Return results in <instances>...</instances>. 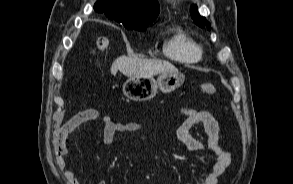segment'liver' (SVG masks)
I'll list each match as a JSON object with an SVG mask.
<instances>
[{
	"instance_id": "liver-1",
	"label": "liver",
	"mask_w": 293,
	"mask_h": 184,
	"mask_svg": "<svg viewBox=\"0 0 293 184\" xmlns=\"http://www.w3.org/2000/svg\"><path fill=\"white\" fill-rule=\"evenodd\" d=\"M128 77L132 76H153L164 72H178L171 63L159 59H142L138 57H118L111 66V74L116 75L117 71Z\"/></svg>"
}]
</instances>
